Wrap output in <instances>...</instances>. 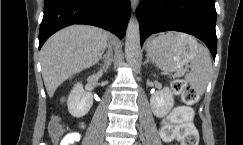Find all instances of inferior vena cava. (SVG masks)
<instances>
[{
  "instance_id": "inferior-vena-cava-1",
  "label": "inferior vena cava",
  "mask_w": 243,
  "mask_h": 145,
  "mask_svg": "<svg viewBox=\"0 0 243 145\" xmlns=\"http://www.w3.org/2000/svg\"><path fill=\"white\" fill-rule=\"evenodd\" d=\"M109 65H110V62L109 63H106L105 64V67L108 68Z\"/></svg>"
}]
</instances>
